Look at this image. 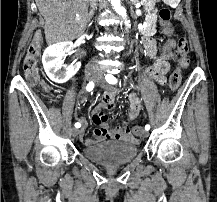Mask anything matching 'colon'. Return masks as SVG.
I'll use <instances>...</instances> for the list:
<instances>
[{"label": "colon", "mask_w": 217, "mask_h": 202, "mask_svg": "<svg viewBox=\"0 0 217 202\" xmlns=\"http://www.w3.org/2000/svg\"><path fill=\"white\" fill-rule=\"evenodd\" d=\"M158 16L162 32L165 35H171L173 33V27L171 25V10L167 7H163L159 10ZM41 38L42 35L40 33H36L33 41H29V47L23 60L25 78L30 84L38 85L40 83L38 55L41 47ZM169 44L175 49L177 62V66L170 76L169 87L171 91H176L182 82L183 76L181 74L184 73L189 66L190 43L187 38L179 36ZM47 90V86H37V91ZM132 132H139V127H132Z\"/></svg>", "instance_id": "obj_1"}]
</instances>
